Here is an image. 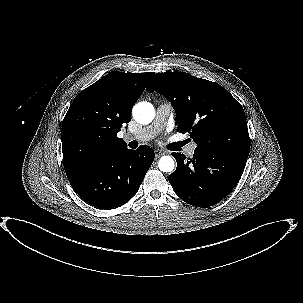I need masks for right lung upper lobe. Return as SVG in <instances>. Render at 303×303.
Here are the masks:
<instances>
[{
    "mask_svg": "<svg viewBox=\"0 0 303 303\" xmlns=\"http://www.w3.org/2000/svg\"><path fill=\"white\" fill-rule=\"evenodd\" d=\"M151 73L111 72L82 90L62 123L63 165L69 178L127 149L117 137Z\"/></svg>",
    "mask_w": 303,
    "mask_h": 303,
    "instance_id": "right-lung-upper-lobe-1",
    "label": "right lung upper lobe"
}]
</instances>
